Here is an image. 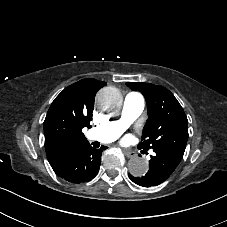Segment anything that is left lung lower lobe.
Returning <instances> with one entry per match:
<instances>
[{"instance_id":"left-lung-lower-lobe-1","label":"left lung lower lobe","mask_w":227,"mask_h":227,"mask_svg":"<svg viewBox=\"0 0 227 227\" xmlns=\"http://www.w3.org/2000/svg\"><path fill=\"white\" fill-rule=\"evenodd\" d=\"M181 160L165 153L155 152L151 156L149 171L143 177H133L130 173L129 178L136 184L144 187L156 186L164 182L175 170Z\"/></svg>"}]
</instances>
